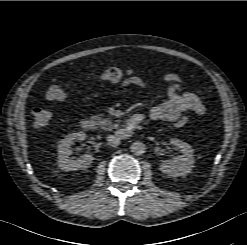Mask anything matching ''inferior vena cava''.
<instances>
[{
	"label": "inferior vena cava",
	"instance_id": "1",
	"mask_svg": "<svg viewBox=\"0 0 247 245\" xmlns=\"http://www.w3.org/2000/svg\"><path fill=\"white\" fill-rule=\"evenodd\" d=\"M107 142H108V144H109L110 146L116 147V146H118L119 143H120V138H119L118 136H116V135H109V136L107 137Z\"/></svg>",
	"mask_w": 247,
	"mask_h": 245
}]
</instances>
